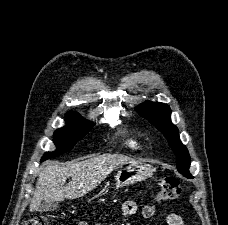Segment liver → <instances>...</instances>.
<instances>
[{
    "instance_id": "1",
    "label": "liver",
    "mask_w": 228,
    "mask_h": 225,
    "mask_svg": "<svg viewBox=\"0 0 228 225\" xmlns=\"http://www.w3.org/2000/svg\"><path fill=\"white\" fill-rule=\"evenodd\" d=\"M135 163L134 159L124 155H99L81 163H47L39 173L37 185L30 203V211H38L42 201H64V199H79L89 191L96 189L102 181L123 165ZM68 177L71 181L65 185Z\"/></svg>"
}]
</instances>
